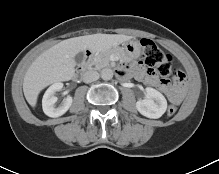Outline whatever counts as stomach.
Returning a JSON list of instances; mask_svg holds the SVG:
<instances>
[{
    "label": "stomach",
    "mask_w": 219,
    "mask_h": 174,
    "mask_svg": "<svg viewBox=\"0 0 219 174\" xmlns=\"http://www.w3.org/2000/svg\"><path fill=\"white\" fill-rule=\"evenodd\" d=\"M115 49L124 52L129 58L133 59H137L141 54V45L134 40L124 42L122 47H116Z\"/></svg>",
    "instance_id": "stomach-1"
}]
</instances>
